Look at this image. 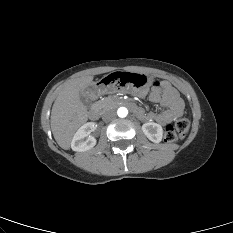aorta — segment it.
Masks as SVG:
<instances>
[{"label": "aorta", "instance_id": "obj_1", "mask_svg": "<svg viewBox=\"0 0 233 233\" xmlns=\"http://www.w3.org/2000/svg\"><path fill=\"white\" fill-rule=\"evenodd\" d=\"M117 114L119 117L124 118L128 115V110L125 107H120L117 110Z\"/></svg>", "mask_w": 233, "mask_h": 233}]
</instances>
